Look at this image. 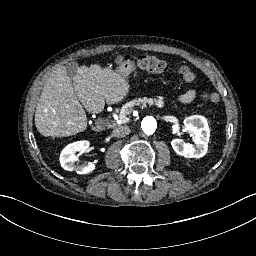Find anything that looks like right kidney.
Instances as JSON below:
<instances>
[{
	"instance_id": "ca27d5eb",
	"label": "right kidney",
	"mask_w": 256,
	"mask_h": 256,
	"mask_svg": "<svg viewBox=\"0 0 256 256\" xmlns=\"http://www.w3.org/2000/svg\"><path fill=\"white\" fill-rule=\"evenodd\" d=\"M90 146L87 140L76 141L68 144L60 154V164L67 171H75L77 174H87L95 169L92 162H84L83 164H75L77 157L76 152H85Z\"/></svg>"
}]
</instances>
